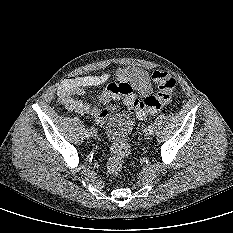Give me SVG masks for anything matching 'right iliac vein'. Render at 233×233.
<instances>
[{
  "label": "right iliac vein",
  "mask_w": 233,
  "mask_h": 233,
  "mask_svg": "<svg viewBox=\"0 0 233 233\" xmlns=\"http://www.w3.org/2000/svg\"><path fill=\"white\" fill-rule=\"evenodd\" d=\"M96 134H97L96 130L92 128V129H91V136H92V137H95Z\"/></svg>",
  "instance_id": "right-iliac-vein-1"
}]
</instances>
